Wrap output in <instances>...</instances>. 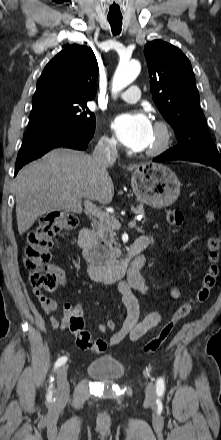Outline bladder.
Listing matches in <instances>:
<instances>
[{"instance_id":"obj_1","label":"bladder","mask_w":221,"mask_h":440,"mask_svg":"<svg viewBox=\"0 0 221 440\" xmlns=\"http://www.w3.org/2000/svg\"><path fill=\"white\" fill-rule=\"evenodd\" d=\"M86 372L99 381H117L124 376L125 366L115 357L101 356L88 363Z\"/></svg>"}]
</instances>
